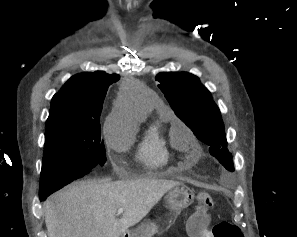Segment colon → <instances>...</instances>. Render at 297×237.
I'll return each mask as SVG.
<instances>
[{
    "label": "colon",
    "instance_id": "colon-1",
    "mask_svg": "<svg viewBox=\"0 0 297 237\" xmlns=\"http://www.w3.org/2000/svg\"><path fill=\"white\" fill-rule=\"evenodd\" d=\"M199 211L190 222L192 235L200 233L208 221V212L213 208V198L209 193L201 192L197 196ZM214 237H243L240 228L230 222L222 221L213 228Z\"/></svg>",
    "mask_w": 297,
    "mask_h": 237
}]
</instances>
